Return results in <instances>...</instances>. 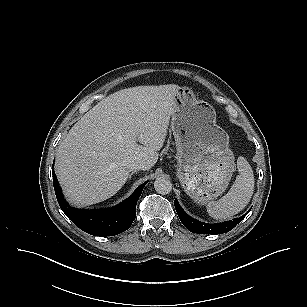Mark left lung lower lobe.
Returning a JSON list of instances; mask_svg holds the SVG:
<instances>
[{"label": "left lung lower lobe", "instance_id": "obj_1", "mask_svg": "<svg viewBox=\"0 0 307 307\" xmlns=\"http://www.w3.org/2000/svg\"><path fill=\"white\" fill-rule=\"evenodd\" d=\"M174 205L177 211V214L179 216V219L181 220L182 224L191 232L198 233V234H223L231 229H233L243 218L250 212V210L244 214L243 216L239 218H235L233 220H229L222 223H216V224H207L200 222L191 216H189L185 211L181 208L179 205L177 199L174 201Z\"/></svg>", "mask_w": 307, "mask_h": 307}]
</instances>
